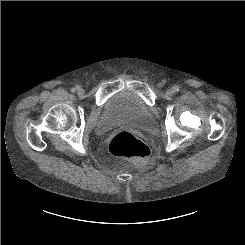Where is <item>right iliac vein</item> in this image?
I'll list each match as a JSON object with an SVG mask.
<instances>
[{
  "label": "right iliac vein",
  "mask_w": 245,
  "mask_h": 245,
  "mask_svg": "<svg viewBox=\"0 0 245 245\" xmlns=\"http://www.w3.org/2000/svg\"><path fill=\"white\" fill-rule=\"evenodd\" d=\"M78 94L83 96L85 94V90L83 88H78Z\"/></svg>",
  "instance_id": "obj_1"
}]
</instances>
